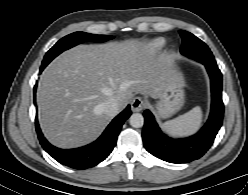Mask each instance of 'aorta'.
<instances>
[{"instance_id": "1", "label": "aorta", "mask_w": 248, "mask_h": 195, "mask_svg": "<svg viewBox=\"0 0 248 195\" xmlns=\"http://www.w3.org/2000/svg\"><path fill=\"white\" fill-rule=\"evenodd\" d=\"M129 123L134 128H141L144 124V117L140 113H134L130 116Z\"/></svg>"}]
</instances>
